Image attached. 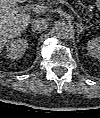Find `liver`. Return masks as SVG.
I'll use <instances>...</instances> for the list:
<instances>
[{
  "label": "liver",
  "mask_w": 100,
  "mask_h": 118,
  "mask_svg": "<svg viewBox=\"0 0 100 118\" xmlns=\"http://www.w3.org/2000/svg\"><path fill=\"white\" fill-rule=\"evenodd\" d=\"M26 0H0V47L19 36L30 23L28 14H19L17 2Z\"/></svg>",
  "instance_id": "6515ba94"
}]
</instances>
